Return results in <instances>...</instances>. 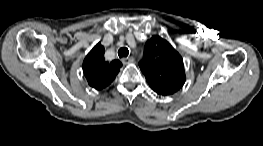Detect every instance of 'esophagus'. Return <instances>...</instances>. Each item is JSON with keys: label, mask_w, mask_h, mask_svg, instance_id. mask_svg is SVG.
Wrapping results in <instances>:
<instances>
[{"label": "esophagus", "mask_w": 263, "mask_h": 146, "mask_svg": "<svg viewBox=\"0 0 263 146\" xmlns=\"http://www.w3.org/2000/svg\"><path fill=\"white\" fill-rule=\"evenodd\" d=\"M134 62V58L133 57H127V58H123L122 59V63L123 64H129V63H132Z\"/></svg>", "instance_id": "34e87169"}]
</instances>
